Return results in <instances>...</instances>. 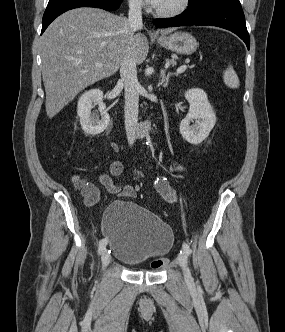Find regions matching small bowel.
Segmentation results:
<instances>
[{
	"label": "small bowel",
	"instance_id": "obj_1",
	"mask_svg": "<svg viewBox=\"0 0 285 332\" xmlns=\"http://www.w3.org/2000/svg\"><path fill=\"white\" fill-rule=\"evenodd\" d=\"M173 170L176 172L182 171V167L173 162ZM123 172V164L119 160H115L110 165V174L115 178H119ZM99 182L106 188V190L111 193L118 195L120 197L133 198L136 196V190L134 187L126 185L120 186L115 184L108 174L102 173L99 175ZM72 183L75 189L82 192L84 196L85 203L88 206H92L99 200V190L92 183L91 177H82L78 174H74L72 177ZM155 188L157 192L169 203L175 201V195L165 178H159L155 182Z\"/></svg>",
	"mask_w": 285,
	"mask_h": 332
}]
</instances>
